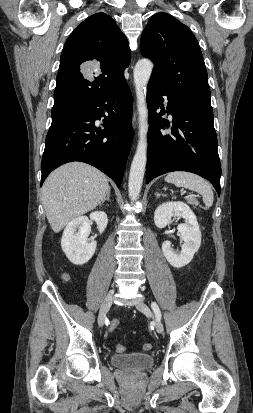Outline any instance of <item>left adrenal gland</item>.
Masks as SVG:
<instances>
[{
  "label": "left adrenal gland",
  "instance_id": "left-adrenal-gland-1",
  "mask_svg": "<svg viewBox=\"0 0 253 413\" xmlns=\"http://www.w3.org/2000/svg\"><path fill=\"white\" fill-rule=\"evenodd\" d=\"M155 195H156V198H159L160 196H166L165 194H163V193H158V192H156Z\"/></svg>",
  "mask_w": 253,
  "mask_h": 413
}]
</instances>
